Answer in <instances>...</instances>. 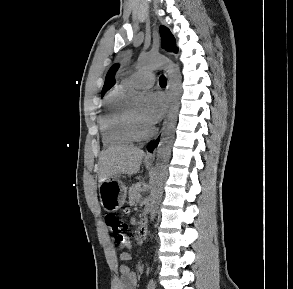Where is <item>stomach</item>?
<instances>
[{
	"label": "stomach",
	"mask_w": 293,
	"mask_h": 289,
	"mask_svg": "<svg viewBox=\"0 0 293 289\" xmlns=\"http://www.w3.org/2000/svg\"><path fill=\"white\" fill-rule=\"evenodd\" d=\"M120 174L99 184V197L103 208L109 211L120 209L126 199L127 188L119 179Z\"/></svg>",
	"instance_id": "0dacf381"
}]
</instances>
